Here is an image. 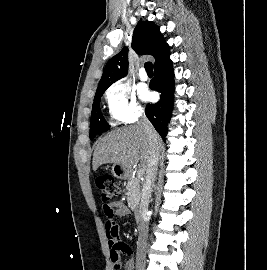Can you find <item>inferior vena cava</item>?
<instances>
[{"mask_svg": "<svg viewBox=\"0 0 267 270\" xmlns=\"http://www.w3.org/2000/svg\"><path fill=\"white\" fill-rule=\"evenodd\" d=\"M138 125L141 126L147 134L150 146V159L146 168V176L143 184L142 196L138 210L140 215V221L138 227L139 236L137 247V262L140 263L144 260L143 250L146 246L149 229L148 207L152 194V186L157 177L158 161L161 149L159 148L157 143L156 132L145 114H141Z\"/></svg>", "mask_w": 267, "mask_h": 270, "instance_id": "obj_1", "label": "inferior vena cava"}]
</instances>
